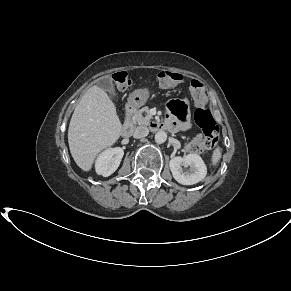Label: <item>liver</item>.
<instances>
[{
  "instance_id": "obj_1",
  "label": "liver",
  "mask_w": 291,
  "mask_h": 291,
  "mask_svg": "<svg viewBox=\"0 0 291 291\" xmlns=\"http://www.w3.org/2000/svg\"><path fill=\"white\" fill-rule=\"evenodd\" d=\"M122 124L107 93L92 86L76 106L68 129L71 155L83 171H90L96 156L117 142Z\"/></svg>"
}]
</instances>
